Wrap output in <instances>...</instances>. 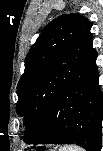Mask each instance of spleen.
Instances as JSON below:
<instances>
[{"label":"spleen","mask_w":103,"mask_h":151,"mask_svg":"<svg viewBox=\"0 0 103 151\" xmlns=\"http://www.w3.org/2000/svg\"><path fill=\"white\" fill-rule=\"evenodd\" d=\"M59 151H84V149L78 147V146H74V145H70V146H63L59 149Z\"/></svg>","instance_id":"obj_1"}]
</instances>
